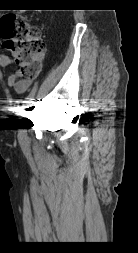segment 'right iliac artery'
<instances>
[{
    "instance_id": "obj_1",
    "label": "right iliac artery",
    "mask_w": 138,
    "mask_h": 253,
    "mask_svg": "<svg viewBox=\"0 0 138 253\" xmlns=\"http://www.w3.org/2000/svg\"><path fill=\"white\" fill-rule=\"evenodd\" d=\"M36 92V85L33 87L32 91L30 94L26 95L24 105H23V114H22V120L24 119V115L28 109H30L31 102L33 101V96Z\"/></svg>"
}]
</instances>
